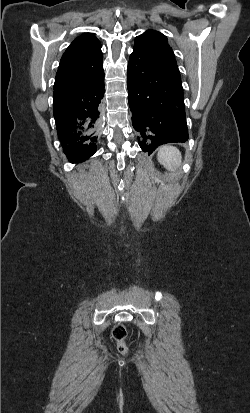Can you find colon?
Listing matches in <instances>:
<instances>
[{
    "label": "colon",
    "instance_id": "obj_1",
    "mask_svg": "<svg viewBox=\"0 0 250 413\" xmlns=\"http://www.w3.org/2000/svg\"><path fill=\"white\" fill-rule=\"evenodd\" d=\"M112 338L117 343L118 351L121 354H126L128 352V347L126 345L127 331L123 324H116L111 331Z\"/></svg>",
    "mask_w": 250,
    "mask_h": 413
}]
</instances>
